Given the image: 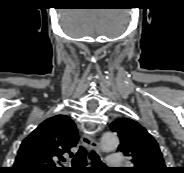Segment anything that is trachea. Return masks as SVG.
Segmentation results:
<instances>
[{
	"instance_id": "trachea-1",
	"label": "trachea",
	"mask_w": 184,
	"mask_h": 173,
	"mask_svg": "<svg viewBox=\"0 0 184 173\" xmlns=\"http://www.w3.org/2000/svg\"><path fill=\"white\" fill-rule=\"evenodd\" d=\"M88 152L84 147H80L74 158L72 159V169H80L87 163ZM89 158L94 163V167L105 168V164L100 160L99 156L94 152L89 153Z\"/></svg>"
}]
</instances>
